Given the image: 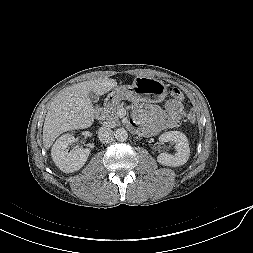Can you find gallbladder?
Wrapping results in <instances>:
<instances>
[{"label": "gallbladder", "mask_w": 253, "mask_h": 253, "mask_svg": "<svg viewBox=\"0 0 253 253\" xmlns=\"http://www.w3.org/2000/svg\"><path fill=\"white\" fill-rule=\"evenodd\" d=\"M88 97H89V99L91 100V102H97L98 99H99L98 94L95 93L94 91H90V92L88 93Z\"/></svg>", "instance_id": "obj_1"}]
</instances>
